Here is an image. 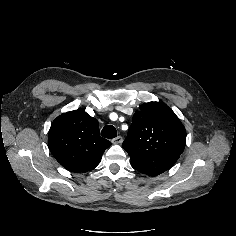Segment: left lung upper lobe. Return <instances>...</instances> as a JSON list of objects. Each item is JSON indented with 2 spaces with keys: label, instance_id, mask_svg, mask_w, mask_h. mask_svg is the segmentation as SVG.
Here are the masks:
<instances>
[{
  "label": "left lung upper lobe",
  "instance_id": "1",
  "mask_svg": "<svg viewBox=\"0 0 236 236\" xmlns=\"http://www.w3.org/2000/svg\"><path fill=\"white\" fill-rule=\"evenodd\" d=\"M185 144L186 130L175 113L162 103L149 102L135 112L123 148L135 170L157 176L176 163Z\"/></svg>",
  "mask_w": 236,
  "mask_h": 236
}]
</instances>
